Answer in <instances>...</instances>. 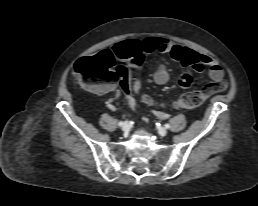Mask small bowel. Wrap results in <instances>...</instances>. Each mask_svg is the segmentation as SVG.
I'll return each mask as SVG.
<instances>
[{
  "instance_id": "obj_1",
  "label": "small bowel",
  "mask_w": 258,
  "mask_h": 206,
  "mask_svg": "<svg viewBox=\"0 0 258 206\" xmlns=\"http://www.w3.org/2000/svg\"><path fill=\"white\" fill-rule=\"evenodd\" d=\"M113 57H118L122 60H134L142 57L143 54L148 53H168L172 60L182 64L183 66L190 67L195 72H203L205 68H208L209 77L219 82L224 76L223 69L219 63L212 57L201 54L194 49L181 45L174 44L163 37H147L143 40L136 38L126 39L115 44L111 50H105ZM170 75L165 64H160L153 79L156 84L164 85L169 81ZM192 76L190 74H182L179 78V84L182 88H189L192 84ZM112 85H106L102 87L98 92L106 93L113 90ZM107 106L114 110L115 106L112 100L107 102ZM157 117L161 119L167 118V113L164 111H156Z\"/></svg>"
}]
</instances>
